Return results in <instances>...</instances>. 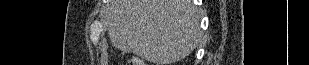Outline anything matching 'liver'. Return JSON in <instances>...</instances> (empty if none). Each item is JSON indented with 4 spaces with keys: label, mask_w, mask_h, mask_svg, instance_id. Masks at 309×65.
Returning <instances> with one entry per match:
<instances>
[{
    "label": "liver",
    "mask_w": 309,
    "mask_h": 65,
    "mask_svg": "<svg viewBox=\"0 0 309 65\" xmlns=\"http://www.w3.org/2000/svg\"><path fill=\"white\" fill-rule=\"evenodd\" d=\"M199 22L191 0H110L106 17L116 48L157 65L181 60L198 46Z\"/></svg>",
    "instance_id": "1"
}]
</instances>
